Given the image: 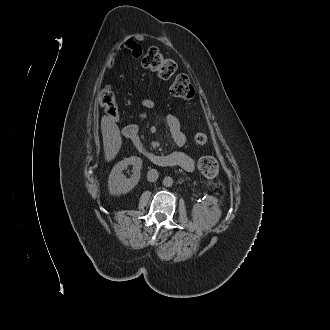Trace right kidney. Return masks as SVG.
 I'll return each mask as SVG.
<instances>
[{"mask_svg": "<svg viewBox=\"0 0 330 330\" xmlns=\"http://www.w3.org/2000/svg\"><path fill=\"white\" fill-rule=\"evenodd\" d=\"M142 159L137 156H131L118 162L111 170L108 178L109 192L112 195L125 194L131 191L139 182L142 168ZM129 165H133L130 178H126L123 170L127 169Z\"/></svg>", "mask_w": 330, "mask_h": 330, "instance_id": "ca27d5eb", "label": "right kidney"}]
</instances>
